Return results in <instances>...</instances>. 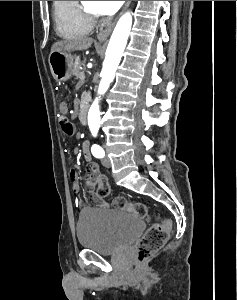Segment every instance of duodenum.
Instances as JSON below:
<instances>
[{"instance_id":"duodenum-1","label":"duodenum","mask_w":237,"mask_h":300,"mask_svg":"<svg viewBox=\"0 0 237 300\" xmlns=\"http://www.w3.org/2000/svg\"><path fill=\"white\" fill-rule=\"evenodd\" d=\"M79 120H80L82 125H86V123H87V110H86V106L84 104H81L80 108H79Z\"/></svg>"}]
</instances>
